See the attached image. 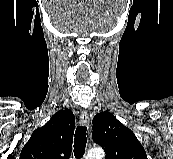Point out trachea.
I'll list each match as a JSON object with an SVG mask.
<instances>
[{
	"instance_id": "obj_1",
	"label": "trachea",
	"mask_w": 173,
	"mask_h": 159,
	"mask_svg": "<svg viewBox=\"0 0 173 159\" xmlns=\"http://www.w3.org/2000/svg\"><path fill=\"white\" fill-rule=\"evenodd\" d=\"M86 130L85 126H78L76 128L74 139V155L76 159H81L84 155L87 143Z\"/></svg>"
}]
</instances>
